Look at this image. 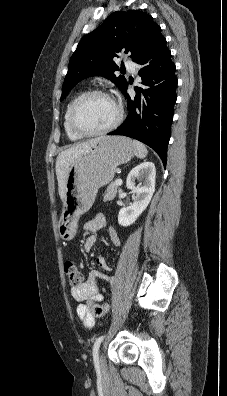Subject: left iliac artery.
<instances>
[{"label":"left iliac artery","instance_id":"44dca946","mask_svg":"<svg viewBox=\"0 0 227 396\" xmlns=\"http://www.w3.org/2000/svg\"><path fill=\"white\" fill-rule=\"evenodd\" d=\"M104 336H100L96 339L94 346H93V360H94V365L97 370V372H100V366H99V360H98V350L100 347L101 342L103 341Z\"/></svg>","mask_w":227,"mask_h":396}]
</instances>
